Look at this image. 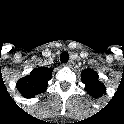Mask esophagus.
I'll use <instances>...</instances> for the list:
<instances>
[{
    "label": "esophagus",
    "instance_id": "esophagus-1",
    "mask_svg": "<svg viewBox=\"0 0 124 124\" xmlns=\"http://www.w3.org/2000/svg\"><path fill=\"white\" fill-rule=\"evenodd\" d=\"M64 66L72 67L73 66V62L72 61H68L67 63L64 64Z\"/></svg>",
    "mask_w": 124,
    "mask_h": 124
}]
</instances>
